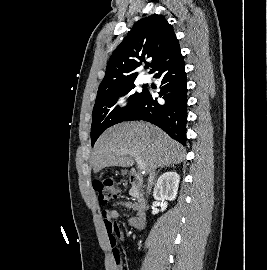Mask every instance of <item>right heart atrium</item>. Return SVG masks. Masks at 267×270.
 Listing matches in <instances>:
<instances>
[{
  "mask_svg": "<svg viewBox=\"0 0 267 270\" xmlns=\"http://www.w3.org/2000/svg\"><path fill=\"white\" fill-rule=\"evenodd\" d=\"M114 106L116 109L124 110L128 106V97L125 93H119L114 98Z\"/></svg>",
  "mask_w": 267,
  "mask_h": 270,
  "instance_id": "obj_1",
  "label": "right heart atrium"
}]
</instances>
